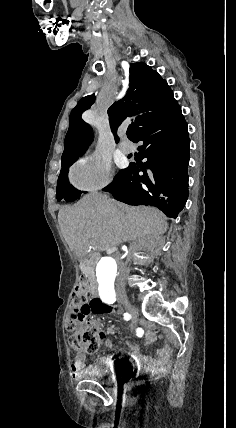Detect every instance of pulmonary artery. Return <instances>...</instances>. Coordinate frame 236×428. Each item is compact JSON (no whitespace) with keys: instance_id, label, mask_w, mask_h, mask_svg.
<instances>
[{"instance_id":"pulmonary-artery-1","label":"pulmonary artery","mask_w":236,"mask_h":428,"mask_svg":"<svg viewBox=\"0 0 236 428\" xmlns=\"http://www.w3.org/2000/svg\"><path fill=\"white\" fill-rule=\"evenodd\" d=\"M119 149L124 154H130L135 150V147L130 141L123 140L119 145Z\"/></svg>"}]
</instances>
